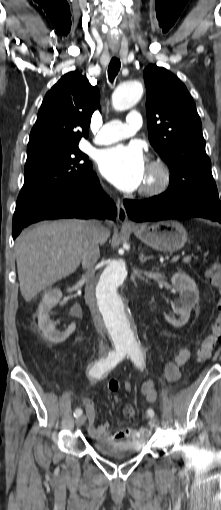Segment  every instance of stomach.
Segmentation results:
<instances>
[{"label": "stomach", "instance_id": "1", "mask_svg": "<svg viewBox=\"0 0 221 510\" xmlns=\"http://www.w3.org/2000/svg\"><path fill=\"white\" fill-rule=\"evenodd\" d=\"M146 245L167 252L181 249L187 241V232L178 221L167 220L130 228Z\"/></svg>", "mask_w": 221, "mask_h": 510}]
</instances>
